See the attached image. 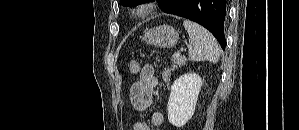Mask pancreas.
<instances>
[{
	"label": "pancreas",
	"instance_id": "cf45deb5",
	"mask_svg": "<svg viewBox=\"0 0 299 130\" xmlns=\"http://www.w3.org/2000/svg\"><path fill=\"white\" fill-rule=\"evenodd\" d=\"M187 58L185 56L176 57L175 55L172 57V70L177 69L178 67L186 64Z\"/></svg>",
	"mask_w": 299,
	"mask_h": 130
}]
</instances>
